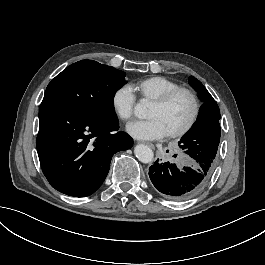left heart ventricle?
I'll return each mask as SVG.
<instances>
[{
  "mask_svg": "<svg viewBox=\"0 0 265 265\" xmlns=\"http://www.w3.org/2000/svg\"><path fill=\"white\" fill-rule=\"evenodd\" d=\"M192 111V104L188 97L180 95L164 108H157L151 104L147 118H155L162 124L166 133L177 131L187 124Z\"/></svg>",
  "mask_w": 265,
  "mask_h": 265,
  "instance_id": "left-heart-ventricle-1",
  "label": "left heart ventricle"
}]
</instances>
